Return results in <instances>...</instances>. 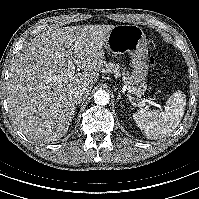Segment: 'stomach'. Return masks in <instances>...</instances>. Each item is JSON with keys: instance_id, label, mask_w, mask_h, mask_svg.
Returning a JSON list of instances; mask_svg holds the SVG:
<instances>
[{"instance_id": "0dacf381", "label": "stomach", "mask_w": 199, "mask_h": 199, "mask_svg": "<svg viewBox=\"0 0 199 199\" xmlns=\"http://www.w3.org/2000/svg\"><path fill=\"white\" fill-rule=\"evenodd\" d=\"M108 52L116 55L129 53L132 59L133 83L142 84L148 72L146 36L137 25H116L104 40Z\"/></svg>"}]
</instances>
